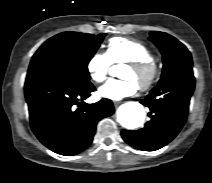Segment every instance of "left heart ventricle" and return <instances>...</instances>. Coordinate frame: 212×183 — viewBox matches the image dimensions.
<instances>
[{"label": "left heart ventricle", "instance_id": "left-heart-ventricle-1", "mask_svg": "<svg viewBox=\"0 0 212 183\" xmlns=\"http://www.w3.org/2000/svg\"><path fill=\"white\" fill-rule=\"evenodd\" d=\"M121 78L124 80H131L137 85H139L144 80V76L142 74L135 72L128 66L123 69L121 73Z\"/></svg>", "mask_w": 212, "mask_h": 183}]
</instances>
